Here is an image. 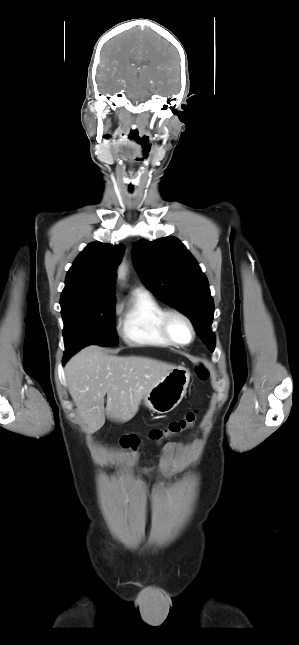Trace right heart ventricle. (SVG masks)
I'll return each instance as SVG.
<instances>
[{
  "label": "right heart ventricle",
  "mask_w": 299,
  "mask_h": 645,
  "mask_svg": "<svg viewBox=\"0 0 299 645\" xmlns=\"http://www.w3.org/2000/svg\"><path fill=\"white\" fill-rule=\"evenodd\" d=\"M165 311V307L151 293L142 289L135 290L120 311L121 337L131 345L171 346L160 330V320Z\"/></svg>",
  "instance_id": "obj_1"
}]
</instances>
